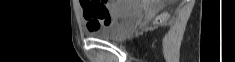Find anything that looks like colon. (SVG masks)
Here are the masks:
<instances>
[{
	"instance_id": "1",
	"label": "colon",
	"mask_w": 235,
	"mask_h": 62,
	"mask_svg": "<svg viewBox=\"0 0 235 62\" xmlns=\"http://www.w3.org/2000/svg\"><path fill=\"white\" fill-rule=\"evenodd\" d=\"M85 14L87 17H94L98 22H105L108 23L111 20L109 10L107 6L100 2V1H82ZM166 18V14L161 15L158 17V21H163ZM105 23V24H106Z\"/></svg>"
}]
</instances>
